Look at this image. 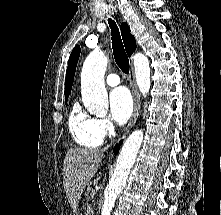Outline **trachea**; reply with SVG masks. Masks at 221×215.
<instances>
[{
    "instance_id": "1",
    "label": "trachea",
    "mask_w": 221,
    "mask_h": 215,
    "mask_svg": "<svg viewBox=\"0 0 221 215\" xmlns=\"http://www.w3.org/2000/svg\"><path fill=\"white\" fill-rule=\"evenodd\" d=\"M108 23L111 28L112 48H113V55H114L115 62L125 74H128L129 73V59L125 52V49H124V46L120 37L119 29L114 20L109 19Z\"/></svg>"
}]
</instances>
